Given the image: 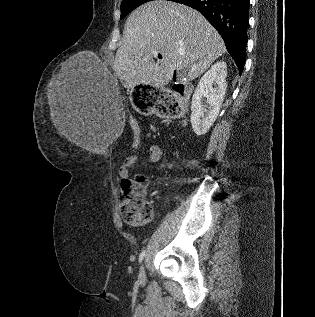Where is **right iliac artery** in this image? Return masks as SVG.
<instances>
[{
    "mask_svg": "<svg viewBox=\"0 0 315 317\" xmlns=\"http://www.w3.org/2000/svg\"><path fill=\"white\" fill-rule=\"evenodd\" d=\"M145 257V251H142L139 255V262L141 263Z\"/></svg>",
    "mask_w": 315,
    "mask_h": 317,
    "instance_id": "82829eb1",
    "label": "right iliac artery"
}]
</instances>
